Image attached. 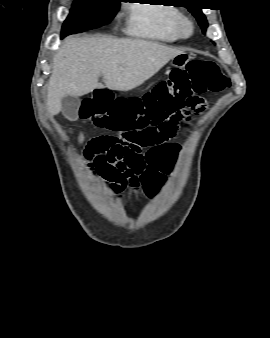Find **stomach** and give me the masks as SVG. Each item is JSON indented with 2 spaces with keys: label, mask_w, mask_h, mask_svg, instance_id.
Returning <instances> with one entry per match:
<instances>
[{
  "label": "stomach",
  "mask_w": 270,
  "mask_h": 338,
  "mask_svg": "<svg viewBox=\"0 0 270 338\" xmlns=\"http://www.w3.org/2000/svg\"><path fill=\"white\" fill-rule=\"evenodd\" d=\"M191 59V55L187 53H180L171 60V65L173 67H176L178 69H181L185 67V65L189 62Z\"/></svg>",
  "instance_id": "1"
}]
</instances>
